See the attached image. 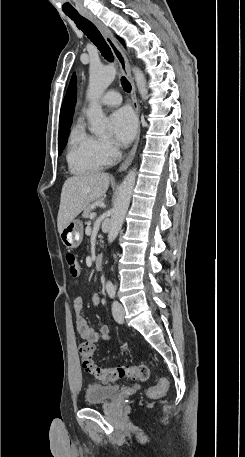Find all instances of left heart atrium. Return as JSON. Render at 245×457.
<instances>
[{"mask_svg": "<svg viewBox=\"0 0 245 457\" xmlns=\"http://www.w3.org/2000/svg\"><path fill=\"white\" fill-rule=\"evenodd\" d=\"M115 137L120 144L129 143L136 131L137 120L134 113L127 108L116 110L110 117Z\"/></svg>", "mask_w": 245, "mask_h": 457, "instance_id": "39dd6f15", "label": "left heart atrium"}]
</instances>
